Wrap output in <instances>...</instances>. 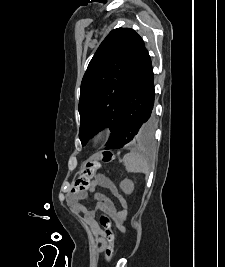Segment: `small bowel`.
Here are the masks:
<instances>
[{"label":"small bowel","instance_id":"small-bowel-1","mask_svg":"<svg viewBox=\"0 0 225 267\" xmlns=\"http://www.w3.org/2000/svg\"><path fill=\"white\" fill-rule=\"evenodd\" d=\"M98 188H105L110 190V192L119 200L120 208L117 209L114 203L105 196L97 193ZM89 194H94L96 205L94 210L88 209L80 201L88 197ZM69 205L75 209L77 212L84 215L85 220L90 224L96 231V240L100 243L101 247L99 251H103L107 240L104 231H102L95 220V210H103L112 216L116 222L118 228L124 232L125 227L123 226V220L126 217V202L122 195L119 193L116 185L113 181L106 175L99 174L92 181L87 192L84 193H74L68 196L67 199Z\"/></svg>","mask_w":225,"mask_h":267}]
</instances>
